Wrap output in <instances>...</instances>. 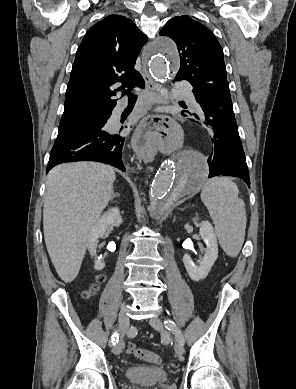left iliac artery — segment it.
<instances>
[{"label": "left iliac artery", "instance_id": "obj_1", "mask_svg": "<svg viewBox=\"0 0 296 389\" xmlns=\"http://www.w3.org/2000/svg\"><path fill=\"white\" fill-rule=\"evenodd\" d=\"M164 324H165V327L168 330H171L175 334L176 338L184 344V342H185L184 337H183L181 330L178 328V326L171 320H165Z\"/></svg>", "mask_w": 296, "mask_h": 389}]
</instances>
